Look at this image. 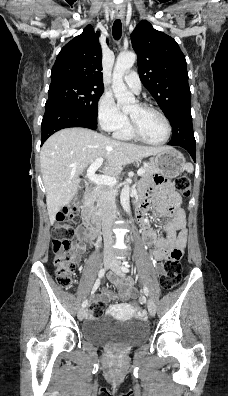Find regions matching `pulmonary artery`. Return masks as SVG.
Returning <instances> with one entry per match:
<instances>
[{
  "mask_svg": "<svg viewBox=\"0 0 228 396\" xmlns=\"http://www.w3.org/2000/svg\"><path fill=\"white\" fill-rule=\"evenodd\" d=\"M125 83L132 89L135 93H140L141 82L138 74L135 71H131L124 76Z\"/></svg>",
  "mask_w": 228,
  "mask_h": 396,
  "instance_id": "obj_1",
  "label": "pulmonary artery"
}]
</instances>
